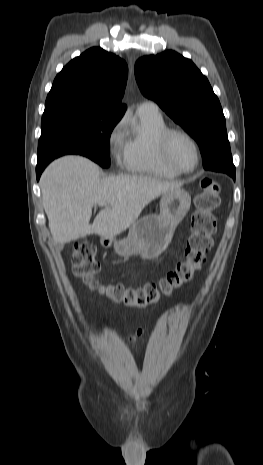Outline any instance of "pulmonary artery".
<instances>
[{
    "label": "pulmonary artery",
    "instance_id": "pulmonary-artery-1",
    "mask_svg": "<svg viewBox=\"0 0 263 465\" xmlns=\"http://www.w3.org/2000/svg\"><path fill=\"white\" fill-rule=\"evenodd\" d=\"M138 111L160 113L159 106L153 101H144L138 106Z\"/></svg>",
    "mask_w": 263,
    "mask_h": 465
}]
</instances>
